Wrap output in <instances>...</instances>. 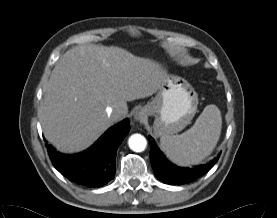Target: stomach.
<instances>
[{"label": "stomach", "mask_w": 277, "mask_h": 218, "mask_svg": "<svg viewBox=\"0 0 277 218\" xmlns=\"http://www.w3.org/2000/svg\"><path fill=\"white\" fill-rule=\"evenodd\" d=\"M198 95L184 78L166 75L154 99L144 109L154 116V134L170 136L182 131L197 112Z\"/></svg>", "instance_id": "stomach-1"}]
</instances>
